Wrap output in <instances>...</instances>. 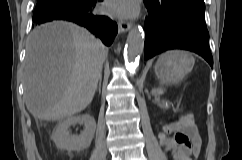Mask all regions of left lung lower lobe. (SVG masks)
<instances>
[{"label":"left lung lower lobe","instance_id":"1","mask_svg":"<svg viewBox=\"0 0 242 160\" xmlns=\"http://www.w3.org/2000/svg\"><path fill=\"white\" fill-rule=\"evenodd\" d=\"M144 1L149 12L145 22V59L166 50L184 49L199 54L213 66L204 11L172 9L154 0Z\"/></svg>","mask_w":242,"mask_h":160}]
</instances>
